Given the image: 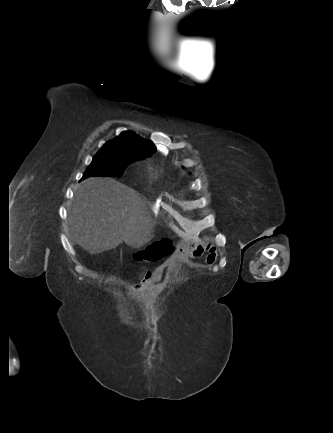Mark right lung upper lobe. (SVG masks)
Here are the masks:
<instances>
[{
    "label": "right lung upper lobe",
    "mask_w": 333,
    "mask_h": 433,
    "mask_svg": "<svg viewBox=\"0 0 333 433\" xmlns=\"http://www.w3.org/2000/svg\"><path fill=\"white\" fill-rule=\"evenodd\" d=\"M118 155L135 156L137 160L149 157L156 151L154 144L131 131H124L118 137L106 142L100 149Z\"/></svg>",
    "instance_id": "right-lung-upper-lobe-1"
}]
</instances>
